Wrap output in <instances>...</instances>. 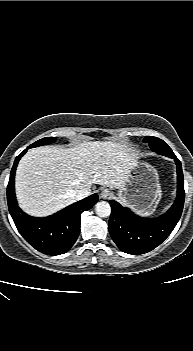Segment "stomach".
<instances>
[{
  "label": "stomach",
  "mask_w": 193,
  "mask_h": 351,
  "mask_svg": "<svg viewBox=\"0 0 193 351\" xmlns=\"http://www.w3.org/2000/svg\"><path fill=\"white\" fill-rule=\"evenodd\" d=\"M161 192L157 170L146 162H134L117 198L137 213L148 216L156 210Z\"/></svg>",
  "instance_id": "stomach-1"
}]
</instances>
